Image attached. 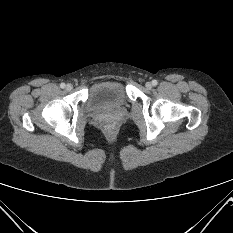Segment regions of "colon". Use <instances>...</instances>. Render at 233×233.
<instances>
[{"instance_id": "obj_1", "label": "colon", "mask_w": 233, "mask_h": 233, "mask_svg": "<svg viewBox=\"0 0 233 233\" xmlns=\"http://www.w3.org/2000/svg\"><path fill=\"white\" fill-rule=\"evenodd\" d=\"M104 132L108 135L112 134L114 132V126L113 124L111 123H107L105 126H104Z\"/></svg>"}]
</instances>
